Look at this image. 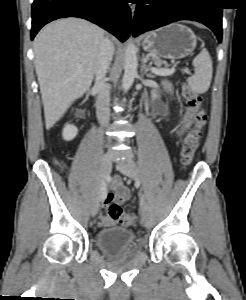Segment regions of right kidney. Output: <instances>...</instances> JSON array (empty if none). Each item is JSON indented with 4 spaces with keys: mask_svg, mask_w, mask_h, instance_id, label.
<instances>
[{
    "mask_svg": "<svg viewBox=\"0 0 246 300\" xmlns=\"http://www.w3.org/2000/svg\"><path fill=\"white\" fill-rule=\"evenodd\" d=\"M77 128L74 125L67 124L62 132V137L65 141H70L74 139L77 135Z\"/></svg>",
    "mask_w": 246,
    "mask_h": 300,
    "instance_id": "1",
    "label": "right kidney"
}]
</instances>
